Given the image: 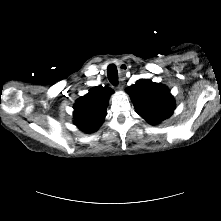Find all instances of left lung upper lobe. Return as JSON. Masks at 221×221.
Returning a JSON list of instances; mask_svg holds the SVG:
<instances>
[{"label": "left lung upper lobe", "instance_id": "1", "mask_svg": "<svg viewBox=\"0 0 221 221\" xmlns=\"http://www.w3.org/2000/svg\"><path fill=\"white\" fill-rule=\"evenodd\" d=\"M136 112L150 124H157L171 116L175 103L167 87L149 80H139L128 87Z\"/></svg>", "mask_w": 221, "mask_h": 221}]
</instances>
